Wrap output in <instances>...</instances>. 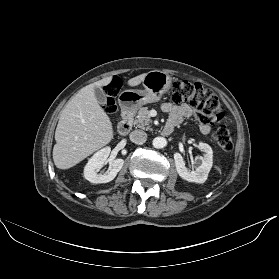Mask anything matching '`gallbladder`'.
I'll return each instance as SVG.
<instances>
[{
  "label": "gallbladder",
  "mask_w": 279,
  "mask_h": 279,
  "mask_svg": "<svg viewBox=\"0 0 279 279\" xmlns=\"http://www.w3.org/2000/svg\"><path fill=\"white\" fill-rule=\"evenodd\" d=\"M94 94H95V97H96L99 104H101V105L106 104L107 95L105 94V92L101 88L95 87L94 88Z\"/></svg>",
  "instance_id": "1"
}]
</instances>
